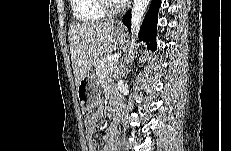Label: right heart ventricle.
Listing matches in <instances>:
<instances>
[{"mask_svg":"<svg viewBox=\"0 0 231 151\" xmlns=\"http://www.w3.org/2000/svg\"><path fill=\"white\" fill-rule=\"evenodd\" d=\"M72 12L78 24L98 22L105 17L97 0H73Z\"/></svg>","mask_w":231,"mask_h":151,"instance_id":"right-heart-ventricle-1","label":"right heart ventricle"}]
</instances>
